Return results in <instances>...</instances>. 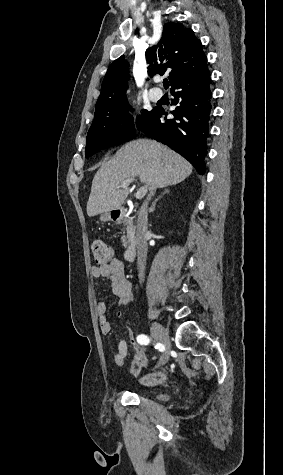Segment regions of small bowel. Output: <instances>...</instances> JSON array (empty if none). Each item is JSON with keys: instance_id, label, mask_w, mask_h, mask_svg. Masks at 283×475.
Listing matches in <instances>:
<instances>
[{"instance_id": "1", "label": "small bowel", "mask_w": 283, "mask_h": 475, "mask_svg": "<svg viewBox=\"0 0 283 475\" xmlns=\"http://www.w3.org/2000/svg\"><path fill=\"white\" fill-rule=\"evenodd\" d=\"M90 274L94 278L109 279L113 294L118 298L121 306L127 305L132 300V285L127 278L123 262L120 259H113L105 265H93L90 268ZM97 314L99 326L102 334L107 335L111 332V324L107 320V304L104 301L97 303ZM131 344L133 345V357L129 373L132 377H137L143 368L151 369L152 372L142 377L141 383L146 386L161 385L167 380V374L158 368H155L145 354L144 349L138 345L133 337L132 331L128 332ZM129 354L128 343L121 339L118 342V351L114 355V363L122 367Z\"/></svg>"}]
</instances>
